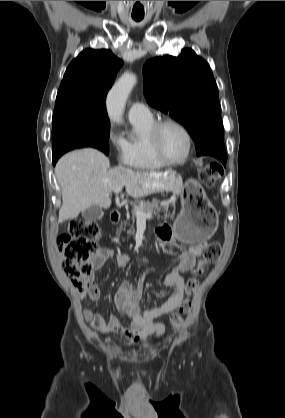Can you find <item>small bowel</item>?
Masks as SVG:
<instances>
[{
	"instance_id": "obj_1",
	"label": "small bowel",
	"mask_w": 285,
	"mask_h": 418,
	"mask_svg": "<svg viewBox=\"0 0 285 418\" xmlns=\"http://www.w3.org/2000/svg\"><path fill=\"white\" fill-rule=\"evenodd\" d=\"M156 233L165 246L174 247L170 231L157 229ZM201 251L202 245L197 244L174 259L172 270L163 281V284L170 288V292L161 305L144 311H141L140 308L142 291L147 278L154 272L153 267L148 265L136 288H133L130 281L126 280L120 284L115 294L116 307L122 315L127 317V322H123L114 315L106 319L104 316L90 310L83 312L84 319L89 322L90 328L97 333L124 335L132 342H141L150 335L159 336L162 331L156 320L171 314L181 305L184 296L188 294L184 274L195 268L196 257L200 255ZM110 259H114L116 266L119 268H124L129 264V257L126 254L115 255L114 251L107 247L99 249L90 259V262L94 270H99ZM145 262L147 261L145 260ZM77 290L81 298L89 297L92 301H98L101 297L99 289L94 284H90L86 289L77 287Z\"/></svg>"
}]
</instances>
